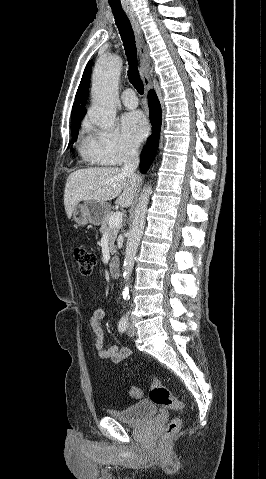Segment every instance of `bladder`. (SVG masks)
Here are the masks:
<instances>
[{"instance_id":"1","label":"bladder","mask_w":266,"mask_h":479,"mask_svg":"<svg viewBox=\"0 0 266 479\" xmlns=\"http://www.w3.org/2000/svg\"><path fill=\"white\" fill-rule=\"evenodd\" d=\"M156 404L152 401L142 400L126 406L120 410L109 409L108 415L126 424H140L155 416Z\"/></svg>"}]
</instances>
